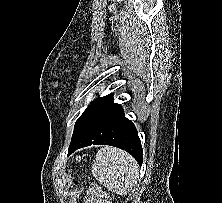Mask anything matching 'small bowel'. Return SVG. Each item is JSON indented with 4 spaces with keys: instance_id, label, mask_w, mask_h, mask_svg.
Returning a JSON list of instances; mask_svg holds the SVG:
<instances>
[{
    "instance_id": "1",
    "label": "small bowel",
    "mask_w": 222,
    "mask_h": 203,
    "mask_svg": "<svg viewBox=\"0 0 222 203\" xmlns=\"http://www.w3.org/2000/svg\"><path fill=\"white\" fill-rule=\"evenodd\" d=\"M91 196L92 197L99 196L100 203H108L106 196L103 194L98 195L97 191L91 192Z\"/></svg>"
}]
</instances>
